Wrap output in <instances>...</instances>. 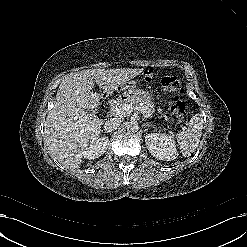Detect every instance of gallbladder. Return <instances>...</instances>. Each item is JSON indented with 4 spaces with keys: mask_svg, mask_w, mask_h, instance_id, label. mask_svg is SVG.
<instances>
[{
    "mask_svg": "<svg viewBox=\"0 0 247 247\" xmlns=\"http://www.w3.org/2000/svg\"><path fill=\"white\" fill-rule=\"evenodd\" d=\"M96 111H97L96 109H95V110H93V113H96Z\"/></svg>",
    "mask_w": 247,
    "mask_h": 247,
    "instance_id": "1",
    "label": "gallbladder"
}]
</instances>
